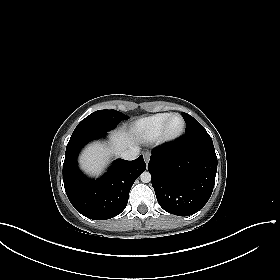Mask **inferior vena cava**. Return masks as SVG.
I'll list each match as a JSON object with an SVG mask.
<instances>
[{"instance_id": "obj_1", "label": "inferior vena cava", "mask_w": 280, "mask_h": 280, "mask_svg": "<svg viewBox=\"0 0 280 280\" xmlns=\"http://www.w3.org/2000/svg\"><path fill=\"white\" fill-rule=\"evenodd\" d=\"M139 152H140L139 147H137V146L130 147V148L126 149L125 151H123L120 154V157L125 160H134L138 157Z\"/></svg>"}]
</instances>
